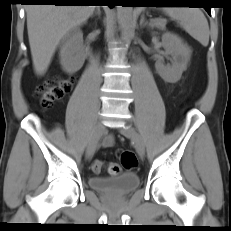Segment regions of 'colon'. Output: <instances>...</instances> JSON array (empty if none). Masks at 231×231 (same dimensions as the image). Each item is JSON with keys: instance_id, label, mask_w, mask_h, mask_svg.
I'll return each mask as SVG.
<instances>
[{"instance_id": "obj_1", "label": "colon", "mask_w": 231, "mask_h": 231, "mask_svg": "<svg viewBox=\"0 0 231 231\" xmlns=\"http://www.w3.org/2000/svg\"><path fill=\"white\" fill-rule=\"evenodd\" d=\"M73 82L74 79L69 77L57 79L40 86L37 93L40 97L41 105L44 108H49L55 101L63 98L71 91ZM120 161L122 166L126 169H134L138 164L137 157L132 151H123L120 154ZM103 167L104 163L101 160H95L92 164V170L94 173H100ZM108 172L111 175H117L120 172L119 165L110 163L108 165Z\"/></svg>"}]
</instances>
